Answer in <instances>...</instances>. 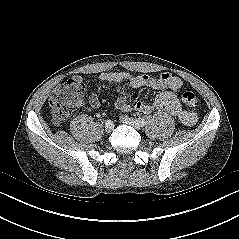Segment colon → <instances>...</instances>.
I'll return each instance as SVG.
<instances>
[{"instance_id": "1", "label": "colon", "mask_w": 239, "mask_h": 239, "mask_svg": "<svg viewBox=\"0 0 239 239\" xmlns=\"http://www.w3.org/2000/svg\"><path fill=\"white\" fill-rule=\"evenodd\" d=\"M84 90V83L77 79L63 81L54 89L49 98V106L55 124L63 123L77 108L82 100ZM181 99L190 108H196L199 105L197 95L191 90L184 91Z\"/></svg>"}]
</instances>
